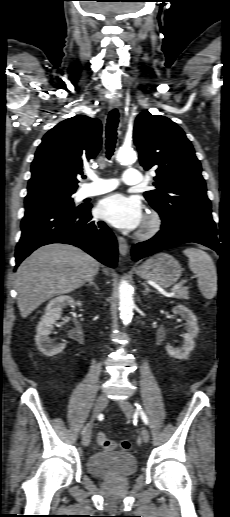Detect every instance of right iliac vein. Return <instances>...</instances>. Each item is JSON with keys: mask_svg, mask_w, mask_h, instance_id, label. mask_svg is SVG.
<instances>
[{"mask_svg": "<svg viewBox=\"0 0 230 517\" xmlns=\"http://www.w3.org/2000/svg\"><path fill=\"white\" fill-rule=\"evenodd\" d=\"M107 404H108V397L106 394L103 393L97 398V400L95 402L94 410H93V418H96L105 409ZM90 441H91V426H89L87 428V430L83 436L82 443L85 447H87V446H89Z\"/></svg>", "mask_w": 230, "mask_h": 517, "instance_id": "right-iliac-vein-1", "label": "right iliac vein"}]
</instances>
